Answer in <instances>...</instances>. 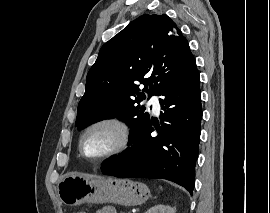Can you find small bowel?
Segmentation results:
<instances>
[{
	"instance_id": "small-bowel-1",
	"label": "small bowel",
	"mask_w": 270,
	"mask_h": 213,
	"mask_svg": "<svg viewBox=\"0 0 270 213\" xmlns=\"http://www.w3.org/2000/svg\"><path fill=\"white\" fill-rule=\"evenodd\" d=\"M96 213H117L113 207L106 206L96 211Z\"/></svg>"
}]
</instances>
